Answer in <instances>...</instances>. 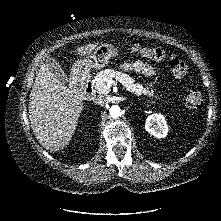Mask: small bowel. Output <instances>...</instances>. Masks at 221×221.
<instances>
[{
	"instance_id": "obj_1",
	"label": "small bowel",
	"mask_w": 221,
	"mask_h": 221,
	"mask_svg": "<svg viewBox=\"0 0 221 221\" xmlns=\"http://www.w3.org/2000/svg\"><path fill=\"white\" fill-rule=\"evenodd\" d=\"M121 67L125 71H136L148 77H152L156 74L155 69L151 65L144 63L142 61L125 63Z\"/></svg>"
}]
</instances>
